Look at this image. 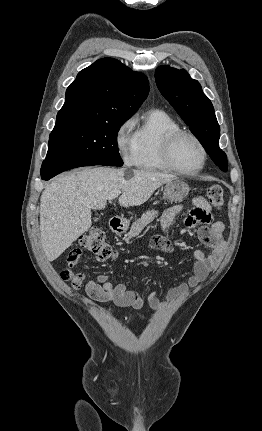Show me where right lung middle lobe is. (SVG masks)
<instances>
[{
  "instance_id": "dd1d6c3e",
  "label": "right lung middle lobe",
  "mask_w": 262,
  "mask_h": 431,
  "mask_svg": "<svg viewBox=\"0 0 262 431\" xmlns=\"http://www.w3.org/2000/svg\"><path fill=\"white\" fill-rule=\"evenodd\" d=\"M126 120H78L55 125L45 161L74 160L122 166L117 133Z\"/></svg>"
}]
</instances>
